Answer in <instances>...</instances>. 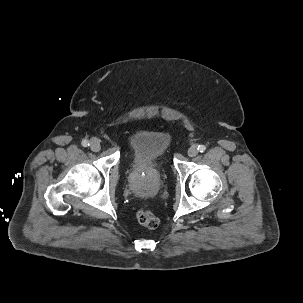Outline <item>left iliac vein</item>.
I'll list each match as a JSON object with an SVG mask.
<instances>
[{
  "label": "left iliac vein",
  "instance_id": "left-iliac-vein-1",
  "mask_svg": "<svg viewBox=\"0 0 303 303\" xmlns=\"http://www.w3.org/2000/svg\"><path fill=\"white\" fill-rule=\"evenodd\" d=\"M198 154V149L196 146H191L189 149H188V155L190 157H194Z\"/></svg>",
  "mask_w": 303,
  "mask_h": 303
}]
</instances>
